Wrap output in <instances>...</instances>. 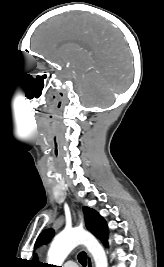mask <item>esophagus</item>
<instances>
[{
  "label": "esophagus",
  "mask_w": 164,
  "mask_h": 267,
  "mask_svg": "<svg viewBox=\"0 0 164 267\" xmlns=\"http://www.w3.org/2000/svg\"><path fill=\"white\" fill-rule=\"evenodd\" d=\"M88 267H94L93 259L90 254H88Z\"/></svg>",
  "instance_id": "1"
}]
</instances>
